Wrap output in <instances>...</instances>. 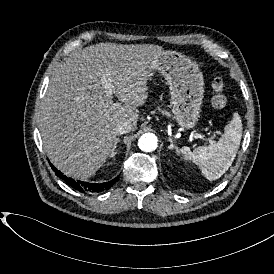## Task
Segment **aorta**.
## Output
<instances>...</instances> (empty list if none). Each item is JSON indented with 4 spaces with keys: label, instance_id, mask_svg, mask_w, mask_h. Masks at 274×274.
Returning a JSON list of instances; mask_svg holds the SVG:
<instances>
[{
    "label": "aorta",
    "instance_id": "aorta-1",
    "mask_svg": "<svg viewBox=\"0 0 274 274\" xmlns=\"http://www.w3.org/2000/svg\"><path fill=\"white\" fill-rule=\"evenodd\" d=\"M157 137L152 133L143 134L138 140V146L142 151L152 152L158 145Z\"/></svg>",
    "mask_w": 274,
    "mask_h": 274
}]
</instances>
